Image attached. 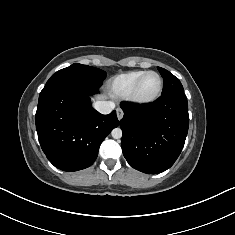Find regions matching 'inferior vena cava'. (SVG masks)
Returning a JSON list of instances; mask_svg holds the SVG:
<instances>
[{
    "instance_id": "602c4592",
    "label": "inferior vena cava",
    "mask_w": 235,
    "mask_h": 235,
    "mask_svg": "<svg viewBox=\"0 0 235 235\" xmlns=\"http://www.w3.org/2000/svg\"><path fill=\"white\" fill-rule=\"evenodd\" d=\"M115 107V103L111 101H96L94 108L101 114H109Z\"/></svg>"
}]
</instances>
